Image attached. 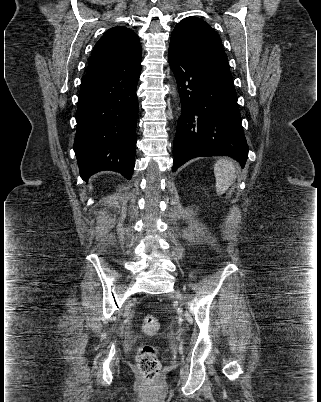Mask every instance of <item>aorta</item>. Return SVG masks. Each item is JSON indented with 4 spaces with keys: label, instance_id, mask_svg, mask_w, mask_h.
<instances>
[{
    "label": "aorta",
    "instance_id": "1",
    "mask_svg": "<svg viewBox=\"0 0 321 402\" xmlns=\"http://www.w3.org/2000/svg\"><path fill=\"white\" fill-rule=\"evenodd\" d=\"M172 95H176V90L173 89Z\"/></svg>",
    "mask_w": 321,
    "mask_h": 402
}]
</instances>
